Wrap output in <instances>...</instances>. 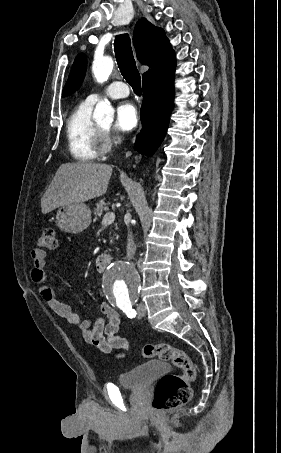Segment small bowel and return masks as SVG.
<instances>
[{
    "label": "small bowel",
    "instance_id": "small-bowel-1",
    "mask_svg": "<svg viewBox=\"0 0 281 453\" xmlns=\"http://www.w3.org/2000/svg\"><path fill=\"white\" fill-rule=\"evenodd\" d=\"M33 266L30 271V278L37 285L41 298L48 306L63 319L73 324L82 334L84 340L93 347L109 353L113 349L119 351L118 358L125 356L128 349V340L117 335L120 316L109 304L101 305V312L105 316L94 323L83 321L69 306L61 303L57 295L47 285L48 277L46 272L47 257L44 251L34 250L31 253Z\"/></svg>",
    "mask_w": 281,
    "mask_h": 453
}]
</instances>
